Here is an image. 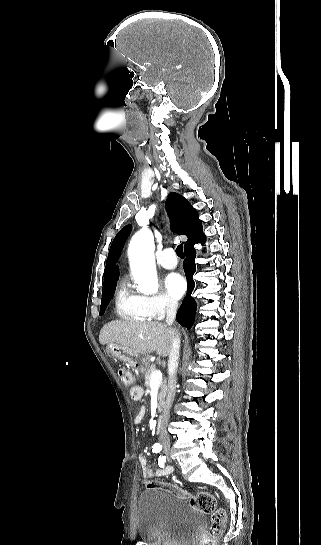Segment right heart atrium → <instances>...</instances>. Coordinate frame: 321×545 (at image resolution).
Masks as SVG:
<instances>
[{"instance_id": "obj_1", "label": "right heart atrium", "mask_w": 321, "mask_h": 545, "mask_svg": "<svg viewBox=\"0 0 321 545\" xmlns=\"http://www.w3.org/2000/svg\"><path fill=\"white\" fill-rule=\"evenodd\" d=\"M139 302L146 317L152 320H162L177 310V304L164 296L139 297Z\"/></svg>"}]
</instances>
